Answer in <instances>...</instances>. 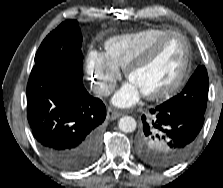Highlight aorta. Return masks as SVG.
Instances as JSON below:
<instances>
[{
    "mask_svg": "<svg viewBox=\"0 0 223 188\" xmlns=\"http://www.w3.org/2000/svg\"><path fill=\"white\" fill-rule=\"evenodd\" d=\"M136 120L131 116H124L118 121V127L125 133L133 132L136 129Z\"/></svg>",
    "mask_w": 223,
    "mask_h": 188,
    "instance_id": "obj_1",
    "label": "aorta"
}]
</instances>
